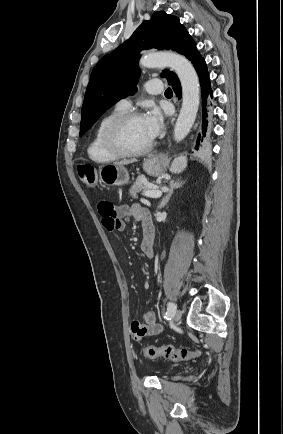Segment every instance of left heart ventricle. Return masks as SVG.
<instances>
[{
	"instance_id": "b2bd125f",
	"label": "left heart ventricle",
	"mask_w": 283,
	"mask_h": 434,
	"mask_svg": "<svg viewBox=\"0 0 283 434\" xmlns=\"http://www.w3.org/2000/svg\"><path fill=\"white\" fill-rule=\"evenodd\" d=\"M122 139L125 146L133 150L141 149L152 141L146 132L142 117L131 121L125 127Z\"/></svg>"
}]
</instances>
